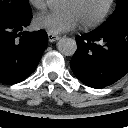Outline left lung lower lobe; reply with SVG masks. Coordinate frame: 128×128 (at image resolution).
I'll return each instance as SVG.
<instances>
[{"label": "left lung lower lobe", "instance_id": "left-lung-lower-lobe-1", "mask_svg": "<svg viewBox=\"0 0 128 128\" xmlns=\"http://www.w3.org/2000/svg\"><path fill=\"white\" fill-rule=\"evenodd\" d=\"M76 41L70 66L87 86L104 88L128 73V21L83 34Z\"/></svg>", "mask_w": 128, "mask_h": 128}]
</instances>
